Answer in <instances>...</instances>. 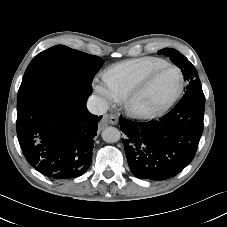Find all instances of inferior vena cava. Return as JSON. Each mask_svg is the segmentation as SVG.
I'll list each match as a JSON object with an SVG mask.
<instances>
[{
	"instance_id": "1",
	"label": "inferior vena cava",
	"mask_w": 227,
	"mask_h": 227,
	"mask_svg": "<svg viewBox=\"0 0 227 227\" xmlns=\"http://www.w3.org/2000/svg\"><path fill=\"white\" fill-rule=\"evenodd\" d=\"M87 108L92 114L103 115L108 110V104L100 97L91 95L87 101Z\"/></svg>"
}]
</instances>
